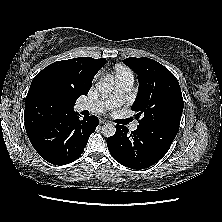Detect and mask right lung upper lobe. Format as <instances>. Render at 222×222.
Instances as JSON below:
<instances>
[{"mask_svg": "<svg viewBox=\"0 0 222 222\" xmlns=\"http://www.w3.org/2000/svg\"><path fill=\"white\" fill-rule=\"evenodd\" d=\"M105 59L79 57L56 61L33 79L25 99L26 132L52 120L78 114L76 100L88 94L92 80Z\"/></svg>", "mask_w": 222, "mask_h": 222, "instance_id": "cb5924a9", "label": "right lung upper lobe"}]
</instances>
